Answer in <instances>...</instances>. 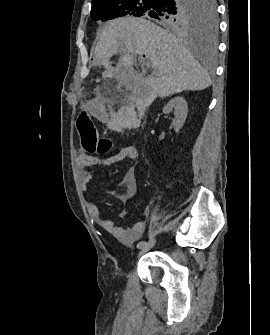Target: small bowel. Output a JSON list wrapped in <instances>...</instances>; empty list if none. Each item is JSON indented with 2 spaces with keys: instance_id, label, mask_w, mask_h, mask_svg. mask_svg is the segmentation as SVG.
<instances>
[{
  "instance_id": "1",
  "label": "small bowel",
  "mask_w": 270,
  "mask_h": 335,
  "mask_svg": "<svg viewBox=\"0 0 270 335\" xmlns=\"http://www.w3.org/2000/svg\"><path fill=\"white\" fill-rule=\"evenodd\" d=\"M91 105V103H90ZM97 118H103L104 114L94 112ZM138 157L137 148L133 145H128L120 149L117 153L108 157L105 161V165H112L124 160H135ZM99 164L98 158L89 154H80L78 157V170L82 184L86 186L90 180L94 177V173L90 170L91 167ZM124 191L120 195V201L123 204H129L136 195L137 192V178L136 170L130 167L124 176ZM88 212L92 219L106 232L112 234L119 239L123 244L130 245L136 242L144 233L146 224L145 222H136L129 228L117 227L113 221L105 219L101 216L100 209L93 203H88ZM119 217L125 219L127 211L124 209L119 212Z\"/></svg>"
}]
</instances>
